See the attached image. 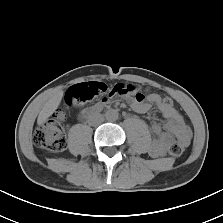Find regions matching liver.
<instances>
[{
    "label": "liver",
    "instance_id": "obj_1",
    "mask_svg": "<svg viewBox=\"0 0 223 223\" xmlns=\"http://www.w3.org/2000/svg\"><path fill=\"white\" fill-rule=\"evenodd\" d=\"M63 97V92H59L50 98L43 106L42 110L40 111L37 119L38 125H42L48 117H50L55 110L58 108L61 100Z\"/></svg>",
    "mask_w": 223,
    "mask_h": 223
}]
</instances>
